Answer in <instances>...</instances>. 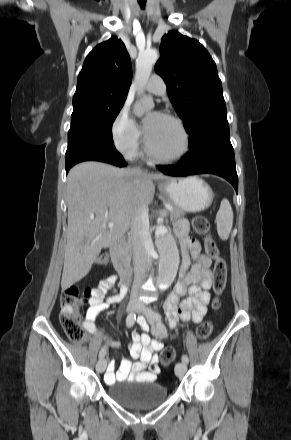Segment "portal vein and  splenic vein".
Listing matches in <instances>:
<instances>
[{"instance_id": "1", "label": "portal vein and splenic vein", "mask_w": 291, "mask_h": 440, "mask_svg": "<svg viewBox=\"0 0 291 440\" xmlns=\"http://www.w3.org/2000/svg\"><path fill=\"white\" fill-rule=\"evenodd\" d=\"M165 207H166V209H168L169 211H172V210H173L172 206H170V205H166ZM113 226H114V222H109V223H107V224H104V225H103V228H106V227L112 228Z\"/></svg>"}]
</instances>
